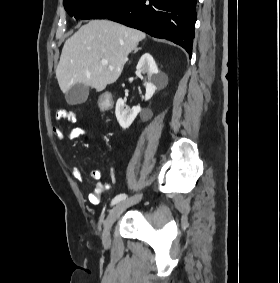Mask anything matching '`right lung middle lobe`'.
I'll list each match as a JSON object with an SVG mask.
<instances>
[{"label":"right lung middle lobe","mask_w":280,"mask_h":283,"mask_svg":"<svg viewBox=\"0 0 280 283\" xmlns=\"http://www.w3.org/2000/svg\"><path fill=\"white\" fill-rule=\"evenodd\" d=\"M132 0H63L65 10L76 19H105Z\"/></svg>","instance_id":"right-lung-middle-lobe-1"}]
</instances>
